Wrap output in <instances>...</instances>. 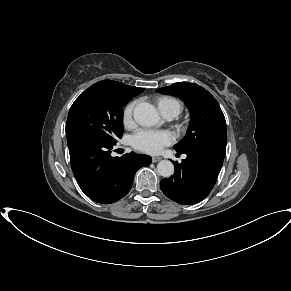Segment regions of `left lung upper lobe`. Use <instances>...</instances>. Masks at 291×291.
Returning a JSON list of instances; mask_svg holds the SVG:
<instances>
[{"label": "left lung upper lobe", "instance_id": "obj_1", "mask_svg": "<svg viewBox=\"0 0 291 291\" xmlns=\"http://www.w3.org/2000/svg\"><path fill=\"white\" fill-rule=\"evenodd\" d=\"M179 97L187 105L191 122L185 137L174 146L178 152L203 149L226 152L227 130L224 114L214 97L203 87L179 82L157 89Z\"/></svg>", "mask_w": 291, "mask_h": 291}]
</instances>
